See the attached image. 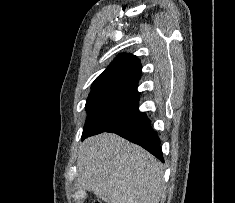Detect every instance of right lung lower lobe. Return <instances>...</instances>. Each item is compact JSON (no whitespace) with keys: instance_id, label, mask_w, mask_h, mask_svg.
Returning <instances> with one entry per match:
<instances>
[{"instance_id":"1","label":"right lung lower lobe","mask_w":235,"mask_h":203,"mask_svg":"<svg viewBox=\"0 0 235 203\" xmlns=\"http://www.w3.org/2000/svg\"><path fill=\"white\" fill-rule=\"evenodd\" d=\"M102 132L116 133L132 143L142 146L164 162L160 139L151 128L147 116L138 110V101L102 121L82 139Z\"/></svg>"}]
</instances>
